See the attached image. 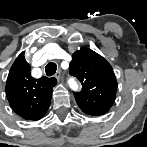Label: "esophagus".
<instances>
[{"mask_svg": "<svg viewBox=\"0 0 147 147\" xmlns=\"http://www.w3.org/2000/svg\"><path fill=\"white\" fill-rule=\"evenodd\" d=\"M55 78H56L58 81L60 80V78H61V72H60V71L56 72Z\"/></svg>", "mask_w": 147, "mask_h": 147, "instance_id": "34e87169", "label": "esophagus"}]
</instances>
